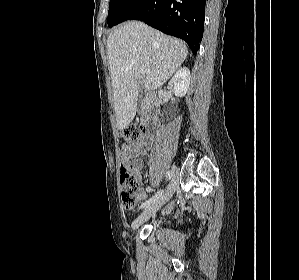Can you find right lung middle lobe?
<instances>
[{
    "label": "right lung middle lobe",
    "mask_w": 299,
    "mask_h": 280,
    "mask_svg": "<svg viewBox=\"0 0 299 280\" xmlns=\"http://www.w3.org/2000/svg\"><path fill=\"white\" fill-rule=\"evenodd\" d=\"M136 0H110L108 11V26L113 27L120 23L122 15Z\"/></svg>",
    "instance_id": "dd1d6c3e"
}]
</instances>
